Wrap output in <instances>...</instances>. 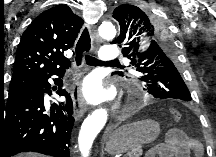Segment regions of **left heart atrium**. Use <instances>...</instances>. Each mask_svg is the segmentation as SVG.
I'll use <instances>...</instances> for the list:
<instances>
[{
    "mask_svg": "<svg viewBox=\"0 0 216 157\" xmlns=\"http://www.w3.org/2000/svg\"><path fill=\"white\" fill-rule=\"evenodd\" d=\"M82 93L84 98L90 103H99L109 96V92L106 91L100 81L95 78H89L85 81Z\"/></svg>",
    "mask_w": 216,
    "mask_h": 157,
    "instance_id": "1",
    "label": "left heart atrium"
}]
</instances>
